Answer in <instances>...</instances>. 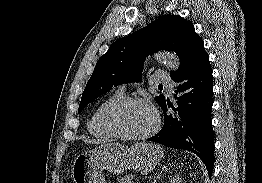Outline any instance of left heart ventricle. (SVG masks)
<instances>
[{"label":"left heart ventricle","mask_w":262,"mask_h":183,"mask_svg":"<svg viewBox=\"0 0 262 183\" xmlns=\"http://www.w3.org/2000/svg\"><path fill=\"white\" fill-rule=\"evenodd\" d=\"M119 128L131 135L148 132L155 124V115L146 105L136 104L124 109L117 117Z\"/></svg>","instance_id":"b2bd125f"}]
</instances>
